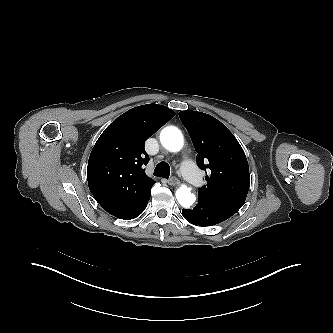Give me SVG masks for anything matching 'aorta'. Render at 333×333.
Returning <instances> with one entry per match:
<instances>
[{"instance_id": "aorta-1", "label": "aorta", "mask_w": 333, "mask_h": 333, "mask_svg": "<svg viewBox=\"0 0 333 333\" xmlns=\"http://www.w3.org/2000/svg\"><path fill=\"white\" fill-rule=\"evenodd\" d=\"M160 142L168 151L179 152L183 148L184 137L177 127L167 126L160 133ZM175 196L178 203L184 208H189L196 200L195 194L185 184L180 185Z\"/></svg>"}]
</instances>
